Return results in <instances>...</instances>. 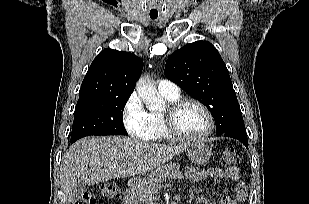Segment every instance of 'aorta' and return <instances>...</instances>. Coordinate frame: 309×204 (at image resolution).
<instances>
[{
    "instance_id": "762f6f07",
    "label": "aorta",
    "mask_w": 309,
    "mask_h": 204,
    "mask_svg": "<svg viewBox=\"0 0 309 204\" xmlns=\"http://www.w3.org/2000/svg\"><path fill=\"white\" fill-rule=\"evenodd\" d=\"M138 96L151 111H159L164 108L163 100L157 96V90L146 79L140 78L136 84Z\"/></svg>"
}]
</instances>
